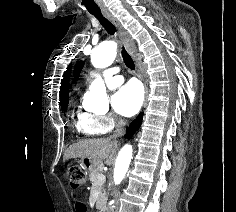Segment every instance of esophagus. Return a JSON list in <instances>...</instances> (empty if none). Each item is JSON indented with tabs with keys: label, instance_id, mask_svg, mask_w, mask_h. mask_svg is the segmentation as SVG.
<instances>
[{
	"label": "esophagus",
	"instance_id": "1",
	"mask_svg": "<svg viewBox=\"0 0 236 212\" xmlns=\"http://www.w3.org/2000/svg\"><path fill=\"white\" fill-rule=\"evenodd\" d=\"M103 15L115 26L117 30V36L121 40L122 44L126 48V50L133 56H135L136 51L134 44L128 34V32L123 28L120 22L110 13L104 12ZM148 89L146 86V98H147ZM146 104V102H145Z\"/></svg>",
	"mask_w": 236,
	"mask_h": 212
}]
</instances>
